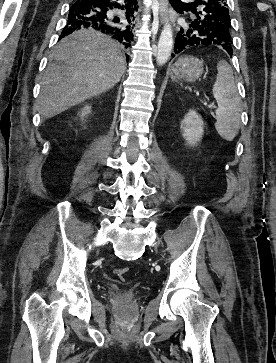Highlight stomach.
Masks as SVG:
<instances>
[{"label":"stomach","mask_w":276,"mask_h":363,"mask_svg":"<svg viewBox=\"0 0 276 363\" xmlns=\"http://www.w3.org/2000/svg\"><path fill=\"white\" fill-rule=\"evenodd\" d=\"M203 71V61L195 57L186 56L176 61L172 68L171 78L174 81L195 82L201 77Z\"/></svg>","instance_id":"0dacf381"}]
</instances>
